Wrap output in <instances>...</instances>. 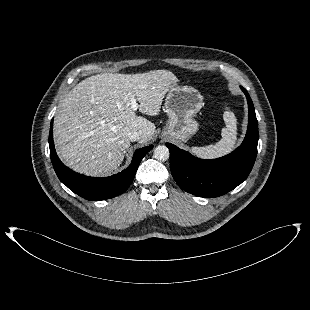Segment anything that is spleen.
Masks as SVG:
<instances>
[{"label": "spleen", "mask_w": 310, "mask_h": 310, "mask_svg": "<svg viewBox=\"0 0 310 310\" xmlns=\"http://www.w3.org/2000/svg\"><path fill=\"white\" fill-rule=\"evenodd\" d=\"M223 114V119L226 126L221 131V140L214 145L204 147H192L193 154L204 159H213L224 156L230 153L237 139V119L235 114L228 110Z\"/></svg>", "instance_id": "3e777b00"}]
</instances>
